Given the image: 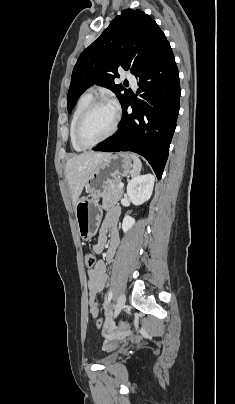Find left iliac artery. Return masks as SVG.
Here are the masks:
<instances>
[{"mask_svg": "<svg viewBox=\"0 0 235 404\" xmlns=\"http://www.w3.org/2000/svg\"><path fill=\"white\" fill-rule=\"evenodd\" d=\"M112 296H113V291H112V290H110V291H109V293H108V298H107V300H106V304H107V306H109V305H110V303H111V299H112Z\"/></svg>", "mask_w": 235, "mask_h": 404, "instance_id": "obj_1", "label": "left iliac artery"}]
</instances>
